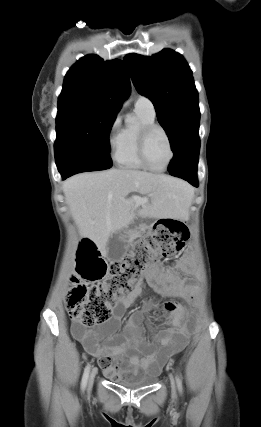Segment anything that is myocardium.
Instances as JSON below:
<instances>
[{"instance_id":"f54148a6","label":"myocardium","mask_w":261,"mask_h":427,"mask_svg":"<svg viewBox=\"0 0 261 427\" xmlns=\"http://www.w3.org/2000/svg\"><path fill=\"white\" fill-rule=\"evenodd\" d=\"M156 131H160L166 138L168 146H169V151H170V156L169 159L167 161V163L162 167V168H156L154 166H152L148 160L147 157V144L149 141L150 136L156 132ZM137 148H138V156L140 161L143 163V165L152 171L155 172H163L165 171L170 164L172 163L173 159H174V148H173V143L171 141V138L168 134V132L160 125L158 124H150V125H146L140 128L139 133H138V142H137Z\"/></svg>"}]
</instances>
